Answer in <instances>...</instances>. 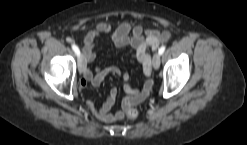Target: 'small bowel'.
I'll return each instance as SVG.
<instances>
[{"label": "small bowel", "mask_w": 247, "mask_h": 145, "mask_svg": "<svg viewBox=\"0 0 247 145\" xmlns=\"http://www.w3.org/2000/svg\"><path fill=\"white\" fill-rule=\"evenodd\" d=\"M102 34H110L117 48L131 47L134 50V57L140 63L142 72L147 78L142 88L136 89L130 83L128 72L120 70L118 67L98 68L95 72L86 68L84 77L80 82L82 90H85L88 84L95 87L99 86L108 75H117L122 79L123 88L127 96L123 100L120 110L111 112L118 93L115 87L110 90L107 99L100 108H96L92 102H89L92 112L99 120L115 122L124 117L125 110L128 107L140 104L149 95L153 87V80L151 78V57L148 50L149 48H158L162 42L170 39L171 34L167 30H145L140 24L130 21L123 22L116 29H113L106 22H99L85 36L83 54L86 63H91L95 60L96 39Z\"/></svg>", "instance_id": "small-bowel-1"}]
</instances>
